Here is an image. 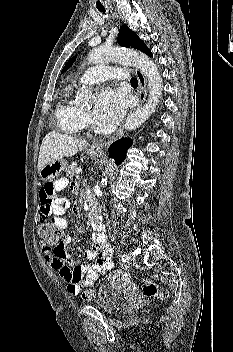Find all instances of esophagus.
I'll use <instances>...</instances> for the list:
<instances>
[{"mask_svg":"<svg viewBox=\"0 0 233 352\" xmlns=\"http://www.w3.org/2000/svg\"><path fill=\"white\" fill-rule=\"evenodd\" d=\"M134 72L139 82L138 103L130 110L129 114H131L133 111H135L143 104L147 95V83L143 73L139 69H135ZM124 127H125L124 124L120 126L117 132L112 137H110L108 141L104 143L102 142L93 143L91 147L94 149H104L105 147L109 146L111 143H113L115 140H117L119 137L123 135Z\"/></svg>","mask_w":233,"mask_h":352,"instance_id":"esophagus-1","label":"esophagus"}]
</instances>
